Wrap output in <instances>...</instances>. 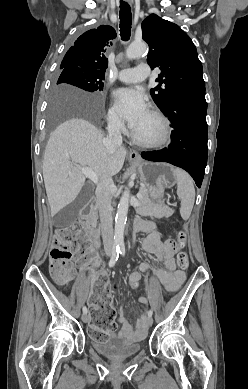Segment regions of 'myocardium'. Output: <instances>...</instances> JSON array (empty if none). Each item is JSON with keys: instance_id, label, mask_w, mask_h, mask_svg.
<instances>
[{"instance_id": "f54148a6", "label": "myocardium", "mask_w": 248, "mask_h": 389, "mask_svg": "<svg viewBox=\"0 0 248 389\" xmlns=\"http://www.w3.org/2000/svg\"><path fill=\"white\" fill-rule=\"evenodd\" d=\"M149 113L154 116L160 123L161 125V134L157 139L154 140H144L139 138L133 130L130 133L131 139L133 140L134 143L137 145L144 147V148H159L162 147L166 144H168L171 140L172 136V130H171V125L168 120V118L158 109L156 108H151L149 110Z\"/></svg>"}]
</instances>
